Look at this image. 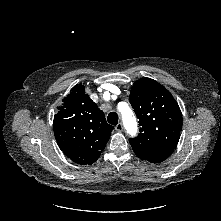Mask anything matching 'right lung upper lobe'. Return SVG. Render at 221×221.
Returning <instances> with one entry per match:
<instances>
[{
  "mask_svg": "<svg viewBox=\"0 0 221 221\" xmlns=\"http://www.w3.org/2000/svg\"><path fill=\"white\" fill-rule=\"evenodd\" d=\"M58 109L53 128L60 149L75 163H94L105 148L113 126L106 122L103 111L85 93L82 84L71 89Z\"/></svg>",
  "mask_w": 221,
  "mask_h": 221,
  "instance_id": "1",
  "label": "right lung upper lobe"
}]
</instances>
